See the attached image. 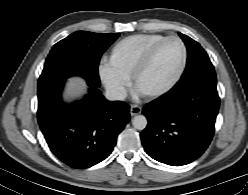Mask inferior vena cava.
Listing matches in <instances>:
<instances>
[{
	"instance_id": "602c4592",
	"label": "inferior vena cava",
	"mask_w": 248,
	"mask_h": 195,
	"mask_svg": "<svg viewBox=\"0 0 248 195\" xmlns=\"http://www.w3.org/2000/svg\"><path fill=\"white\" fill-rule=\"evenodd\" d=\"M126 93L117 89H106L105 98L109 101L124 100Z\"/></svg>"
}]
</instances>
